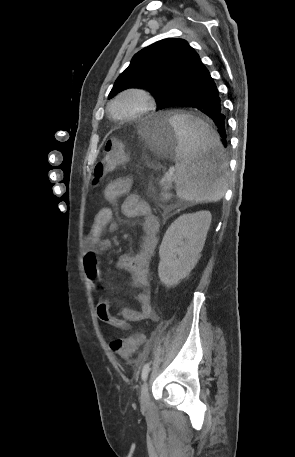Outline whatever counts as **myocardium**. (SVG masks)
Segmentation results:
<instances>
[{
  "label": "myocardium",
  "instance_id": "f54148a6",
  "mask_svg": "<svg viewBox=\"0 0 295 457\" xmlns=\"http://www.w3.org/2000/svg\"><path fill=\"white\" fill-rule=\"evenodd\" d=\"M136 97L140 101L139 107L128 115H118L115 112V105L124 97ZM155 107V99L152 93L143 88H128L119 92L111 101L109 110L113 118L120 121H130L137 119L141 116L152 111Z\"/></svg>",
  "mask_w": 295,
  "mask_h": 457
}]
</instances>
